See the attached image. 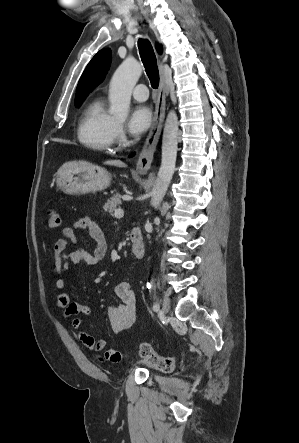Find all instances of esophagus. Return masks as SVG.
<instances>
[{
    "mask_svg": "<svg viewBox=\"0 0 299 443\" xmlns=\"http://www.w3.org/2000/svg\"><path fill=\"white\" fill-rule=\"evenodd\" d=\"M166 95H167L166 78L163 68L160 65V84L156 99L153 122L136 164V170L139 173H146L151 167L153 156L163 126V121L165 116Z\"/></svg>",
    "mask_w": 299,
    "mask_h": 443,
    "instance_id": "1",
    "label": "esophagus"
}]
</instances>
